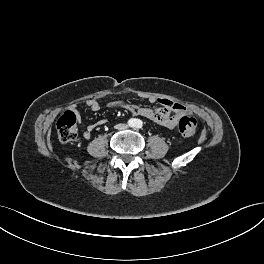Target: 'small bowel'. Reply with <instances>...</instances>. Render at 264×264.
Instances as JSON below:
<instances>
[{"instance_id": "1", "label": "small bowel", "mask_w": 264, "mask_h": 264, "mask_svg": "<svg viewBox=\"0 0 264 264\" xmlns=\"http://www.w3.org/2000/svg\"><path fill=\"white\" fill-rule=\"evenodd\" d=\"M148 101L151 103L158 101L160 107L152 109L149 107H141L133 104H125L122 102H113L110 104V106H123L129 112L143 116L168 129L175 128L181 116L190 114V110L186 106L166 98L156 99L155 97H149ZM86 105L93 112H97L100 109V104L95 99L88 100ZM104 123L105 120H101L97 124L88 125L83 133L84 138L90 139L95 128L98 125H102Z\"/></svg>"}]
</instances>
